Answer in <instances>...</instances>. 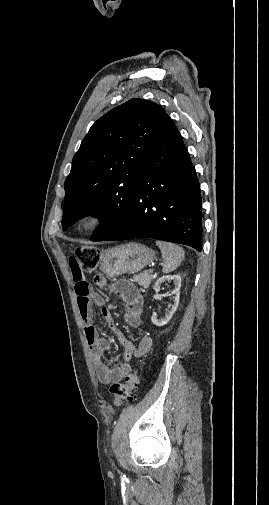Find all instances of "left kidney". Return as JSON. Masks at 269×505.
<instances>
[{"label": "left kidney", "mask_w": 269, "mask_h": 505, "mask_svg": "<svg viewBox=\"0 0 269 505\" xmlns=\"http://www.w3.org/2000/svg\"><path fill=\"white\" fill-rule=\"evenodd\" d=\"M181 276L180 275H166L162 276L159 278L153 289L158 292L160 291V287L163 283L165 282H174L175 288L172 291V294H174V302L171 306V310L165 315V317L158 319L156 316L151 317V321L154 325L161 327L166 325L172 318L173 314L177 310L178 304H179V298H180V287H181Z\"/></svg>", "instance_id": "left-kidney-1"}]
</instances>
